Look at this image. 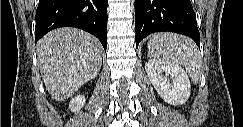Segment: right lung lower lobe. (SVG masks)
<instances>
[{
  "label": "right lung lower lobe",
  "instance_id": "obj_1",
  "mask_svg": "<svg viewBox=\"0 0 243 127\" xmlns=\"http://www.w3.org/2000/svg\"><path fill=\"white\" fill-rule=\"evenodd\" d=\"M108 0H39L36 10L35 43L59 27H77L107 44Z\"/></svg>",
  "mask_w": 243,
  "mask_h": 127
}]
</instances>
